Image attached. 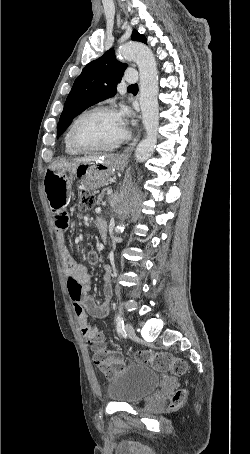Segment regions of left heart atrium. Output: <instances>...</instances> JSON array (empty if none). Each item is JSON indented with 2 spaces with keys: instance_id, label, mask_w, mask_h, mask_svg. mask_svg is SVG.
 Here are the masks:
<instances>
[{
  "instance_id": "left-heart-atrium-1",
  "label": "left heart atrium",
  "mask_w": 250,
  "mask_h": 454,
  "mask_svg": "<svg viewBox=\"0 0 250 454\" xmlns=\"http://www.w3.org/2000/svg\"><path fill=\"white\" fill-rule=\"evenodd\" d=\"M118 115H119L121 121H122L123 124H124V121H125L126 117L128 116V111H127V109L123 108L122 110H120V111L118 112Z\"/></svg>"
}]
</instances>
